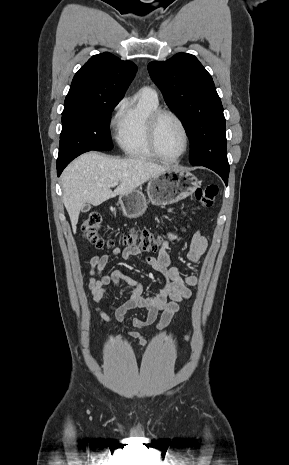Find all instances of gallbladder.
I'll use <instances>...</instances> for the list:
<instances>
[{"mask_svg": "<svg viewBox=\"0 0 289 465\" xmlns=\"http://www.w3.org/2000/svg\"><path fill=\"white\" fill-rule=\"evenodd\" d=\"M90 208H91L90 204H86V203H85V204L82 206L81 211H82V212H87V211L90 210Z\"/></svg>", "mask_w": 289, "mask_h": 465, "instance_id": "obj_1", "label": "gallbladder"}]
</instances>
